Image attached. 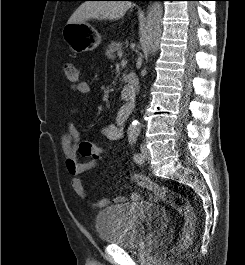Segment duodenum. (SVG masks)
I'll return each instance as SVG.
<instances>
[{
  "instance_id": "1",
  "label": "duodenum",
  "mask_w": 245,
  "mask_h": 265,
  "mask_svg": "<svg viewBox=\"0 0 245 265\" xmlns=\"http://www.w3.org/2000/svg\"><path fill=\"white\" fill-rule=\"evenodd\" d=\"M123 80L125 82L122 90L123 96L128 103H133L136 100L139 89L137 75L134 72H127L123 76Z\"/></svg>"
}]
</instances>
